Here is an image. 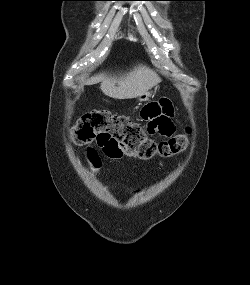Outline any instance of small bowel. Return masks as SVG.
Segmentation results:
<instances>
[{"mask_svg":"<svg viewBox=\"0 0 250 285\" xmlns=\"http://www.w3.org/2000/svg\"><path fill=\"white\" fill-rule=\"evenodd\" d=\"M141 117L146 121L147 128H144V133L148 136H157L158 133L160 136H173L175 133L172 123L173 107L168 100L162 99L147 104L142 109ZM88 159L94 168L101 166L100 158L94 149L88 150Z\"/></svg>","mask_w":250,"mask_h":285,"instance_id":"1","label":"small bowel"}]
</instances>
